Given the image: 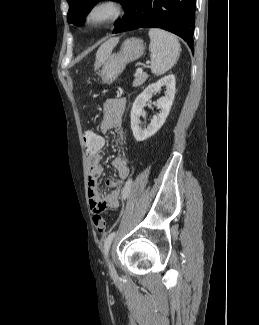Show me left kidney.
Returning <instances> with one entry per match:
<instances>
[{
	"instance_id": "5707ae66",
	"label": "left kidney",
	"mask_w": 259,
	"mask_h": 325,
	"mask_svg": "<svg viewBox=\"0 0 259 325\" xmlns=\"http://www.w3.org/2000/svg\"><path fill=\"white\" fill-rule=\"evenodd\" d=\"M165 86V96L157 101V107L160 109L158 115L153 116L151 123L147 128L142 129L140 124V117L143 114V107L151 99L153 93L159 91L161 87ZM175 96V77L174 75H168L150 84L140 95H138L133 103L131 109V129L133 131L134 138L137 141H144L147 138L153 136L165 123L167 116L169 115L173 100Z\"/></svg>"
}]
</instances>
